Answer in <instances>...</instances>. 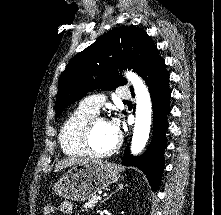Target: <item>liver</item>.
I'll use <instances>...</instances> for the list:
<instances>
[{
	"label": "liver",
	"instance_id": "1",
	"mask_svg": "<svg viewBox=\"0 0 221 215\" xmlns=\"http://www.w3.org/2000/svg\"><path fill=\"white\" fill-rule=\"evenodd\" d=\"M88 161V159H85V160H80V159H75V158H67L65 160H62L60 161L59 163H57L55 165V172H58L64 168H68V167H71L73 165H80L84 162Z\"/></svg>",
	"mask_w": 221,
	"mask_h": 215
}]
</instances>
